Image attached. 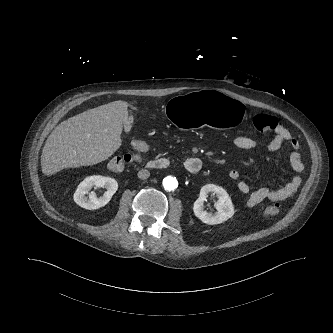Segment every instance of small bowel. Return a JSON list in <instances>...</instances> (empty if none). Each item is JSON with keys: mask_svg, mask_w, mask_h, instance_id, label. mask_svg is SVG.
<instances>
[{"mask_svg": "<svg viewBox=\"0 0 333 333\" xmlns=\"http://www.w3.org/2000/svg\"><path fill=\"white\" fill-rule=\"evenodd\" d=\"M272 132L273 138L267 144L268 150L275 152L278 151L284 143L288 144L293 150L290 155V164L296 175L287 185L280 189L260 187L252 190L249 184L242 179L239 170H230L228 177L236 183L238 191L247 197L246 203L249 207H253L265 200L277 202L291 199L301 184L299 174L303 172L304 164L299 152L300 143L298 139L293 136L286 127L279 123H276ZM232 142L236 148L246 151L255 150L259 146L255 139L248 136H236L233 138ZM131 149L136 154L147 155L151 151V146L141 139H135L131 143Z\"/></svg>", "mask_w": 333, "mask_h": 333, "instance_id": "small-bowel-1", "label": "small bowel"}]
</instances>
